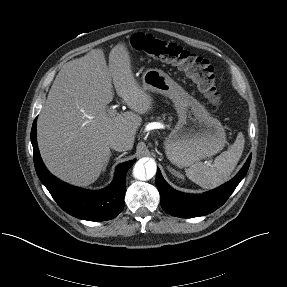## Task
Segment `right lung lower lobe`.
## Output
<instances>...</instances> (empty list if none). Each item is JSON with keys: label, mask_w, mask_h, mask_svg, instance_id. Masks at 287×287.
<instances>
[{"label": "right lung lower lobe", "mask_w": 287, "mask_h": 287, "mask_svg": "<svg viewBox=\"0 0 287 287\" xmlns=\"http://www.w3.org/2000/svg\"><path fill=\"white\" fill-rule=\"evenodd\" d=\"M31 142L37 175L65 212L83 220L105 221L115 218L123 210L126 173L135 160L120 164L108 187L96 191L85 190L58 180L46 169L37 147L36 119L31 130Z\"/></svg>", "instance_id": "obj_1"}]
</instances>
